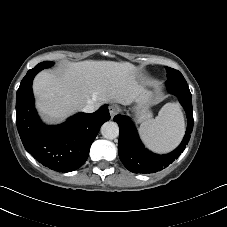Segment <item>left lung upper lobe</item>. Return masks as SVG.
<instances>
[{"label": "left lung upper lobe", "instance_id": "1", "mask_svg": "<svg viewBox=\"0 0 227 227\" xmlns=\"http://www.w3.org/2000/svg\"><path fill=\"white\" fill-rule=\"evenodd\" d=\"M167 70V79L172 81H185L183 75L178 70H175L170 67H166Z\"/></svg>", "mask_w": 227, "mask_h": 227}]
</instances>
